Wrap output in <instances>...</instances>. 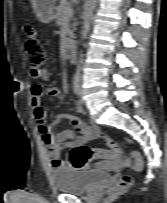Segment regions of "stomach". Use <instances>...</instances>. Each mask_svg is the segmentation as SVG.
Returning <instances> with one entry per match:
<instances>
[{"mask_svg": "<svg viewBox=\"0 0 167 203\" xmlns=\"http://www.w3.org/2000/svg\"><path fill=\"white\" fill-rule=\"evenodd\" d=\"M39 21L50 23L55 18L56 0H30Z\"/></svg>", "mask_w": 167, "mask_h": 203, "instance_id": "1", "label": "stomach"}]
</instances>
